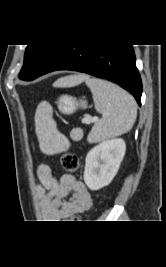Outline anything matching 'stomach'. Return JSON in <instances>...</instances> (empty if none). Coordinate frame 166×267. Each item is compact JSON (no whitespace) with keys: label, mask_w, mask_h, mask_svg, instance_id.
<instances>
[{"label":"stomach","mask_w":166,"mask_h":267,"mask_svg":"<svg viewBox=\"0 0 166 267\" xmlns=\"http://www.w3.org/2000/svg\"><path fill=\"white\" fill-rule=\"evenodd\" d=\"M79 107L85 109L87 107L86 101L78 102L76 98L70 95H62L58 100V108L63 114H72Z\"/></svg>","instance_id":"stomach-1"}]
</instances>
